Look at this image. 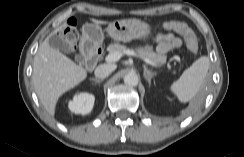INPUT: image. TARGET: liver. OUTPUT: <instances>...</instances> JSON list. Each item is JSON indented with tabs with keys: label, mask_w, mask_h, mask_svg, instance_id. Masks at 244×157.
<instances>
[{
	"label": "liver",
	"mask_w": 244,
	"mask_h": 157,
	"mask_svg": "<svg viewBox=\"0 0 244 157\" xmlns=\"http://www.w3.org/2000/svg\"><path fill=\"white\" fill-rule=\"evenodd\" d=\"M91 20L98 25L107 23ZM65 27L66 25H63L61 29ZM48 39L49 37L40 44L34 57L32 82L43 107L50 116H54L59 98L84 81L87 78V71L59 50L52 48Z\"/></svg>",
	"instance_id": "obj_1"
}]
</instances>
